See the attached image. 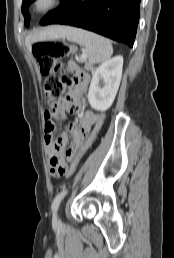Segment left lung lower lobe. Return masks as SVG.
<instances>
[{"instance_id": "1", "label": "left lung lower lobe", "mask_w": 174, "mask_h": 258, "mask_svg": "<svg viewBox=\"0 0 174 258\" xmlns=\"http://www.w3.org/2000/svg\"><path fill=\"white\" fill-rule=\"evenodd\" d=\"M141 0H64L42 25L64 24L133 46Z\"/></svg>"}]
</instances>
